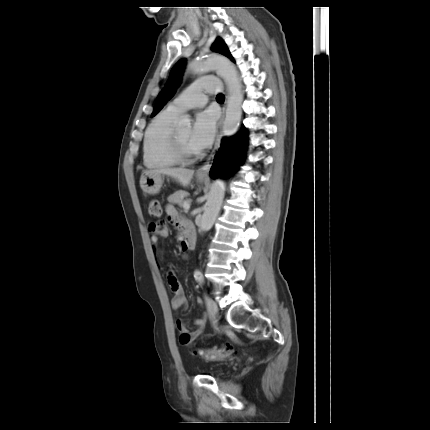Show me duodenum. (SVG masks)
<instances>
[{
  "label": "duodenum",
  "mask_w": 430,
  "mask_h": 430,
  "mask_svg": "<svg viewBox=\"0 0 430 430\" xmlns=\"http://www.w3.org/2000/svg\"><path fill=\"white\" fill-rule=\"evenodd\" d=\"M184 250H192L194 248V236L192 233H187L183 242Z\"/></svg>",
  "instance_id": "410a0bca"
}]
</instances>
